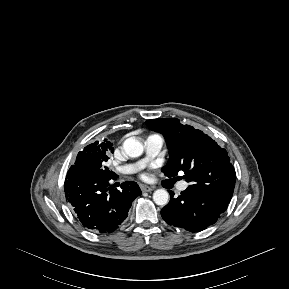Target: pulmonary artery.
Instances as JSON below:
<instances>
[{
  "mask_svg": "<svg viewBox=\"0 0 289 289\" xmlns=\"http://www.w3.org/2000/svg\"><path fill=\"white\" fill-rule=\"evenodd\" d=\"M164 145V138L160 134H150L145 139V152H146V159H150L155 157L162 149ZM134 166H125L118 169L120 173H131L134 171ZM188 184L183 181L180 182L178 185L179 191H184L187 189Z\"/></svg>",
  "mask_w": 289,
  "mask_h": 289,
  "instance_id": "1",
  "label": "pulmonary artery"
}]
</instances>
